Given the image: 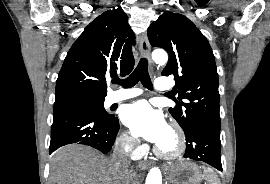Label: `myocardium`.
Wrapping results in <instances>:
<instances>
[{"mask_svg": "<svg viewBox=\"0 0 270 184\" xmlns=\"http://www.w3.org/2000/svg\"><path fill=\"white\" fill-rule=\"evenodd\" d=\"M169 130L175 139L174 148L170 151H164L159 146H156L154 148V152L159 158L165 160H175L183 155L186 148V140L182 128L177 123H172Z\"/></svg>", "mask_w": 270, "mask_h": 184, "instance_id": "f54148a6", "label": "myocardium"}]
</instances>
